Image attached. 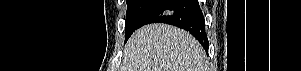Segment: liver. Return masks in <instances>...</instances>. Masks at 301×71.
I'll return each instance as SVG.
<instances>
[{
	"label": "liver",
	"mask_w": 301,
	"mask_h": 71,
	"mask_svg": "<svg viewBox=\"0 0 301 71\" xmlns=\"http://www.w3.org/2000/svg\"><path fill=\"white\" fill-rule=\"evenodd\" d=\"M207 56L188 32L166 24L136 30L124 48L122 71H207Z\"/></svg>",
	"instance_id": "obj_1"
}]
</instances>
